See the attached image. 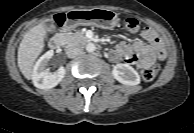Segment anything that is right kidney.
<instances>
[{
	"label": "right kidney",
	"mask_w": 194,
	"mask_h": 133,
	"mask_svg": "<svg viewBox=\"0 0 194 133\" xmlns=\"http://www.w3.org/2000/svg\"><path fill=\"white\" fill-rule=\"evenodd\" d=\"M53 51L50 50L42 55L36 62L32 81L35 87L39 89H50L57 86L65 76L66 70L63 66L59 67L55 72H50L47 68L49 60L53 56Z\"/></svg>",
	"instance_id": "1"
}]
</instances>
